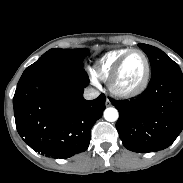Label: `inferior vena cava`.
I'll list each match as a JSON object with an SVG mask.
<instances>
[{"label":"inferior vena cava","mask_w":183,"mask_h":183,"mask_svg":"<svg viewBox=\"0 0 183 183\" xmlns=\"http://www.w3.org/2000/svg\"><path fill=\"white\" fill-rule=\"evenodd\" d=\"M99 94H100L99 91L92 87L85 88L84 90V98L86 100L95 99L99 96Z\"/></svg>","instance_id":"1"}]
</instances>
